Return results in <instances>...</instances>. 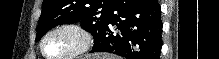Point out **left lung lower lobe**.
<instances>
[{
    "instance_id": "0a47b994",
    "label": "left lung lower lobe",
    "mask_w": 219,
    "mask_h": 59,
    "mask_svg": "<svg viewBox=\"0 0 219 59\" xmlns=\"http://www.w3.org/2000/svg\"><path fill=\"white\" fill-rule=\"evenodd\" d=\"M161 33L157 0H114L90 53L109 52L126 59H160Z\"/></svg>"
}]
</instances>
